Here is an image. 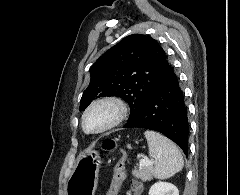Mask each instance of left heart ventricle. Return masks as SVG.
<instances>
[{
	"instance_id": "left-heart-ventricle-1",
	"label": "left heart ventricle",
	"mask_w": 240,
	"mask_h": 195,
	"mask_svg": "<svg viewBox=\"0 0 240 195\" xmlns=\"http://www.w3.org/2000/svg\"><path fill=\"white\" fill-rule=\"evenodd\" d=\"M109 116L110 111L107 109L93 111L87 117L86 126L90 130L97 129L108 120Z\"/></svg>"
}]
</instances>
